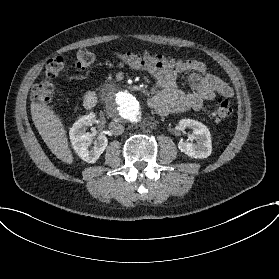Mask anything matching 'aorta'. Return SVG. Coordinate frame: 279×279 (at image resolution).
<instances>
[{
	"label": "aorta",
	"mask_w": 279,
	"mask_h": 279,
	"mask_svg": "<svg viewBox=\"0 0 279 279\" xmlns=\"http://www.w3.org/2000/svg\"><path fill=\"white\" fill-rule=\"evenodd\" d=\"M107 110L109 116L119 122L135 123L141 116L138 99L128 91L113 93L108 99Z\"/></svg>",
	"instance_id": "obj_1"
}]
</instances>
